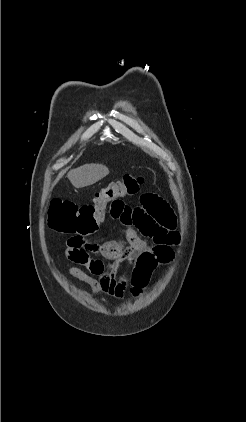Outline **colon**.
<instances>
[{"label": "colon", "instance_id": "obj_1", "mask_svg": "<svg viewBox=\"0 0 246 422\" xmlns=\"http://www.w3.org/2000/svg\"><path fill=\"white\" fill-rule=\"evenodd\" d=\"M144 183L141 176L125 175L98 191L92 201L77 204L57 199L51 202L48 210V226L58 232L89 235L98 230L107 213L112 208H121L122 199L136 194ZM173 251L156 247L141 252L133 261L131 272V292L138 296L147 286L152 272L162 264L169 263Z\"/></svg>", "mask_w": 246, "mask_h": 422}]
</instances>
